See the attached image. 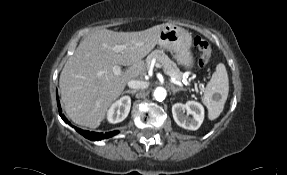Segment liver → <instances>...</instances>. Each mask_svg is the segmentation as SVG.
Masks as SVG:
<instances>
[{
    "label": "liver",
    "instance_id": "liver-1",
    "mask_svg": "<svg viewBox=\"0 0 287 175\" xmlns=\"http://www.w3.org/2000/svg\"><path fill=\"white\" fill-rule=\"evenodd\" d=\"M166 25L138 32L99 29L89 33L60 74L61 100L68 117L76 124L98 127L127 82L144 74L143 58L158 44L159 33ZM116 45L126 47L117 51ZM115 65L130 67L115 75Z\"/></svg>",
    "mask_w": 287,
    "mask_h": 175
}]
</instances>
